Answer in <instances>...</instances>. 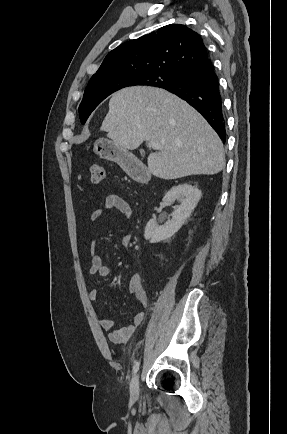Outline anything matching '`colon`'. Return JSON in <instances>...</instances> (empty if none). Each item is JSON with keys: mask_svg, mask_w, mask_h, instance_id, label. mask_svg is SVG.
<instances>
[{"mask_svg": "<svg viewBox=\"0 0 287 434\" xmlns=\"http://www.w3.org/2000/svg\"><path fill=\"white\" fill-rule=\"evenodd\" d=\"M91 181L93 184H98L107 176V169L103 165L95 164L91 166Z\"/></svg>", "mask_w": 287, "mask_h": 434, "instance_id": "obj_1", "label": "colon"}]
</instances>
